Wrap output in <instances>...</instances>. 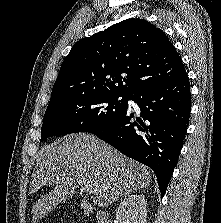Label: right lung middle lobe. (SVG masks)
Wrapping results in <instances>:
<instances>
[{"mask_svg": "<svg viewBox=\"0 0 221 223\" xmlns=\"http://www.w3.org/2000/svg\"><path fill=\"white\" fill-rule=\"evenodd\" d=\"M128 99L106 93L82 94L49 103L41 129V142L52 136L88 132L101 127L128 107Z\"/></svg>", "mask_w": 221, "mask_h": 223, "instance_id": "dd1d6c3e", "label": "right lung middle lobe"}]
</instances>
